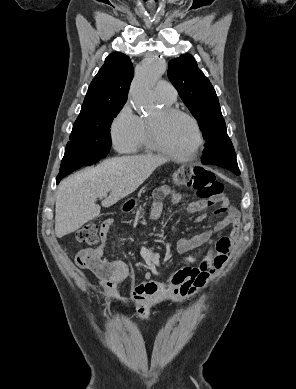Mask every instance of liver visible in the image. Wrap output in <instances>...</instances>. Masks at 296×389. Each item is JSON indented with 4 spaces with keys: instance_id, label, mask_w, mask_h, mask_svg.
<instances>
[{
    "instance_id": "liver-1",
    "label": "liver",
    "mask_w": 296,
    "mask_h": 389,
    "mask_svg": "<svg viewBox=\"0 0 296 389\" xmlns=\"http://www.w3.org/2000/svg\"><path fill=\"white\" fill-rule=\"evenodd\" d=\"M167 160L157 155L107 159L96 167L79 171L62 181L56 193L55 234L61 238L80 229L101 212L97 198L110 207L133 193L153 171Z\"/></svg>"
}]
</instances>
